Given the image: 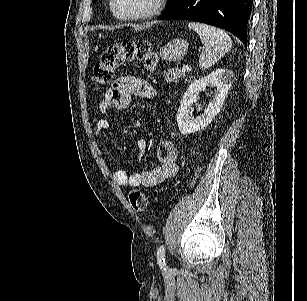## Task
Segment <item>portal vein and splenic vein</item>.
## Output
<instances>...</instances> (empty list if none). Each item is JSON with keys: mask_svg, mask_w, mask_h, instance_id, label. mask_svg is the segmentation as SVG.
<instances>
[{"mask_svg": "<svg viewBox=\"0 0 307 301\" xmlns=\"http://www.w3.org/2000/svg\"><path fill=\"white\" fill-rule=\"evenodd\" d=\"M186 70H191V68H189L188 64H184V66H182V72H186Z\"/></svg>", "mask_w": 307, "mask_h": 301, "instance_id": "portal-vein-and-splenic-vein-1", "label": "portal vein and splenic vein"}]
</instances>
